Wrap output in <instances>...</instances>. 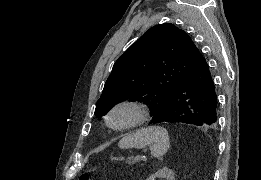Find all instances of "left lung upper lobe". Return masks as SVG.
<instances>
[{
  "label": "left lung upper lobe",
  "instance_id": "left-lung-upper-lobe-1",
  "mask_svg": "<svg viewBox=\"0 0 261 180\" xmlns=\"http://www.w3.org/2000/svg\"><path fill=\"white\" fill-rule=\"evenodd\" d=\"M198 53L190 36L175 25L150 28L115 62L95 115L104 116L124 100L138 101L150 108L153 122L166 111L171 94Z\"/></svg>",
  "mask_w": 261,
  "mask_h": 180
}]
</instances>
